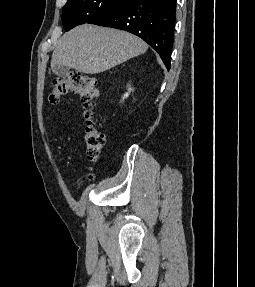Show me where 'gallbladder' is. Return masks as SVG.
<instances>
[{
  "mask_svg": "<svg viewBox=\"0 0 255 287\" xmlns=\"http://www.w3.org/2000/svg\"><path fill=\"white\" fill-rule=\"evenodd\" d=\"M70 68H66V66H54L52 68V72L58 76V78H62V80H65L69 74Z\"/></svg>",
  "mask_w": 255,
  "mask_h": 287,
  "instance_id": "1",
  "label": "gallbladder"
}]
</instances>
